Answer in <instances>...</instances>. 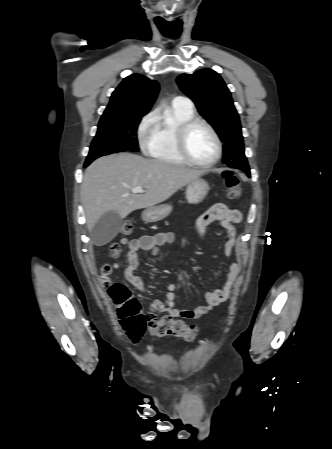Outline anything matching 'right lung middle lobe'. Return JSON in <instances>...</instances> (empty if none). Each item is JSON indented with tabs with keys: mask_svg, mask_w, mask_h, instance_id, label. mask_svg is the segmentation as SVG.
I'll use <instances>...</instances> for the list:
<instances>
[{
	"mask_svg": "<svg viewBox=\"0 0 332 449\" xmlns=\"http://www.w3.org/2000/svg\"><path fill=\"white\" fill-rule=\"evenodd\" d=\"M144 115H119L101 117L96 136L90 146L86 165L104 155L139 150L136 132Z\"/></svg>",
	"mask_w": 332,
	"mask_h": 449,
	"instance_id": "right-lung-middle-lobe-1",
	"label": "right lung middle lobe"
}]
</instances>
